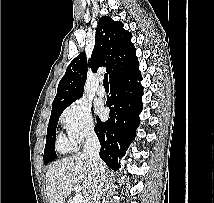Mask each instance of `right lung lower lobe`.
Returning a JSON list of instances; mask_svg holds the SVG:
<instances>
[{"mask_svg":"<svg viewBox=\"0 0 214 203\" xmlns=\"http://www.w3.org/2000/svg\"><path fill=\"white\" fill-rule=\"evenodd\" d=\"M138 66L135 65L110 81L111 96L107 100L110 118L102 122L97 117L95 133L101 145L100 157L113 170L121 167L118 159L123 157L134 140L140 122L143 87L137 82L142 80Z\"/></svg>","mask_w":214,"mask_h":203,"instance_id":"98d812e1","label":"right lung lower lobe"}]
</instances>
